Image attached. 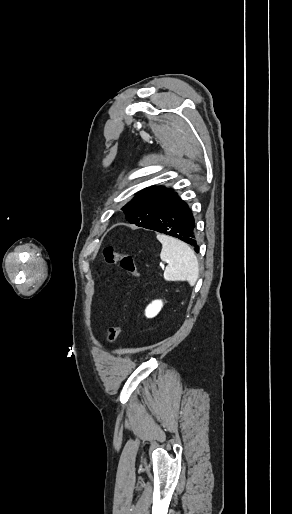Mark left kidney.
Wrapping results in <instances>:
<instances>
[{
	"mask_svg": "<svg viewBox=\"0 0 292 514\" xmlns=\"http://www.w3.org/2000/svg\"><path fill=\"white\" fill-rule=\"evenodd\" d=\"M161 308H163V302H161V300H154L152 304L147 306L145 310V316H147V318H154V316L159 314Z\"/></svg>",
	"mask_w": 292,
	"mask_h": 514,
	"instance_id": "left-kidney-1",
	"label": "left kidney"
}]
</instances>
